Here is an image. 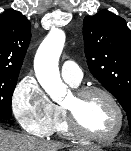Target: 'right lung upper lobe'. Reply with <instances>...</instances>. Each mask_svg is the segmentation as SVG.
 <instances>
[{
  "mask_svg": "<svg viewBox=\"0 0 131 151\" xmlns=\"http://www.w3.org/2000/svg\"><path fill=\"white\" fill-rule=\"evenodd\" d=\"M30 37V22L19 11L0 14V72L20 71Z\"/></svg>",
  "mask_w": 131,
  "mask_h": 151,
  "instance_id": "cb5924a9",
  "label": "right lung upper lobe"
}]
</instances>
